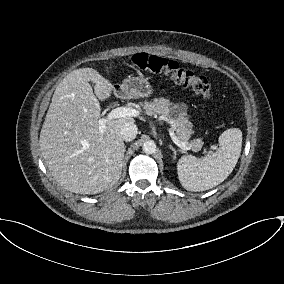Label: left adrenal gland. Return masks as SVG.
<instances>
[{
	"instance_id": "a2214340",
	"label": "left adrenal gland",
	"mask_w": 284,
	"mask_h": 284,
	"mask_svg": "<svg viewBox=\"0 0 284 284\" xmlns=\"http://www.w3.org/2000/svg\"><path fill=\"white\" fill-rule=\"evenodd\" d=\"M169 148L173 151L174 158H176V155H177L176 149L172 145H169Z\"/></svg>"
}]
</instances>
